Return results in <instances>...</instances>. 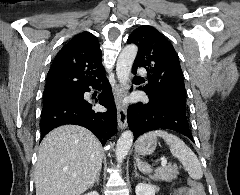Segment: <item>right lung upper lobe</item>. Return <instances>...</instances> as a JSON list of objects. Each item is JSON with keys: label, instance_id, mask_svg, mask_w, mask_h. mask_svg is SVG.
I'll return each mask as SVG.
<instances>
[{"label": "right lung upper lobe", "instance_id": "cb5924a9", "mask_svg": "<svg viewBox=\"0 0 240 195\" xmlns=\"http://www.w3.org/2000/svg\"><path fill=\"white\" fill-rule=\"evenodd\" d=\"M105 79L97 38L82 32L74 36L56 55L47 75L44 95L76 92Z\"/></svg>", "mask_w": 240, "mask_h": 195}]
</instances>
